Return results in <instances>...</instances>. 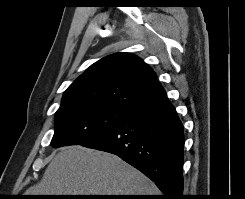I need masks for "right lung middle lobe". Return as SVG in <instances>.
<instances>
[{
	"label": "right lung middle lobe",
	"instance_id": "1",
	"mask_svg": "<svg viewBox=\"0 0 245 199\" xmlns=\"http://www.w3.org/2000/svg\"><path fill=\"white\" fill-rule=\"evenodd\" d=\"M127 115L125 112L92 104L58 109L51 145L57 148L84 144L113 128Z\"/></svg>",
	"mask_w": 245,
	"mask_h": 199
}]
</instances>
